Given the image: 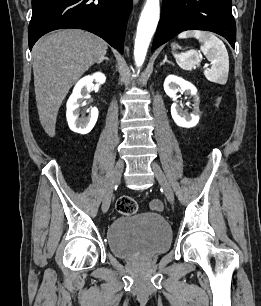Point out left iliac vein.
<instances>
[{
    "label": "left iliac vein",
    "mask_w": 261,
    "mask_h": 306,
    "mask_svg": "<svg viewBox=\"0 0 261 306\" xmlns=\"http://www.w3.org/2000/svg\"><path fill=\"white\" fill-rule=\"evenodd\" d=\"M151 168H152L160 186L162 187L167 200L170 203H173L174 202V193H173V190H172L164 172L162 171L161 167L156 162H152Z\"/></svg>",
    "instance_id": "1"
}]
</instances>
